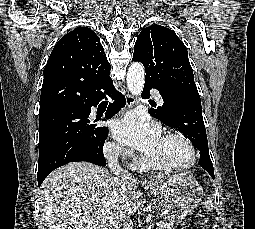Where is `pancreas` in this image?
Here are the masks:
<instances>
[{
    "label": "pancreas",
    "instance_id": "pancreas-1",
    "mask_svg": "<svg viewBox=\"0 0 255 229\" xmlns=\"http://www.w3.org/2000/svg\"><path fill=\"white\" fill-rule=\"evenodd\" d=\"M156 229H172V225L168 223H162L161 226H158Z\"/></svg>",
    "mask_w": 255,
    "mask_h": 229
}]
</instances>
